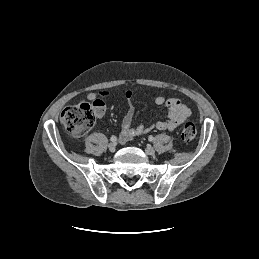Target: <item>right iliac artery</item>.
<instances>
[{
    "label": "right iliac artery",
    "mask_w": 259,
    "mask_h": 259,
    "mask_svg": "<svg viewBox=\"0 0 259 259\" xmlns=\"http://www.w3.org/2000/svg\"><path fill=\"white\" fill-rule=\"evenodd\" d=\"M110 141L116 142V141H117V138H116L115 136H112V137L110 138Z\"/></svg>",
    "instance_id": "1"
}]
</instances>
